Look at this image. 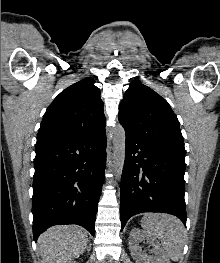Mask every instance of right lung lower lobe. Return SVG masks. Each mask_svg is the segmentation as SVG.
I'll list each match as a JSON object with an SVG mask.
<instances>
[{
    "instance_id": "98d812e1",
    "label": "right lung lower lobe",
    "mask_w": 220,
    "mask_h": 263,
    "mask_svg": "<svg viewBox=\"0 0 220 263\" xmlns=\"http://www.w3.org/2000/svg\"><path fill=\"white\" fill-rule=\"evenodd\" d=\"M105 165V129L63 141L36 143L32 199L35 241L57 224H77L95 235Z\"/></svg>"
}]
</instances>
